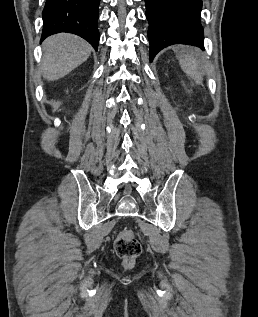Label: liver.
I'll use <instances>...</instances> for the list:
<instances>
[{"mask_svg": "<svg viewBox=\"0 0 258 317\" xmlns=\"http://www.w3.org/2000/svg\"><path fill=\"white\" fill-rule=\"evenodd\" d=\"M43 50V76L47 80H57L87 60L92 46L76 34L60 32L44 40Z\"/></svg>", "mask_w": 258, "mask_h": 317, "instance_id": "liver-1", "label": "liver"}]
</instances>
